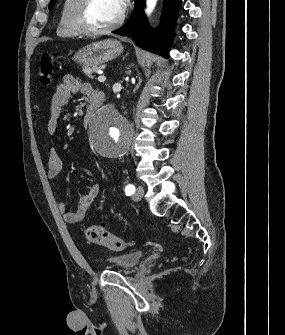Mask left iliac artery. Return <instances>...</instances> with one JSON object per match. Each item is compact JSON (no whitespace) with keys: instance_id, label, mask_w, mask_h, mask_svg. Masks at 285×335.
Here are the masks:
<instances>
[{"instance_id":"left-iliac-artery-1","label":"left iliac artery","mask_w":285,"mask_h":335,"mask_svg":"<svg viewBox=\"0 0 285 335\" xmlns=\"http://www.w3.org/2000/svg\"><path fill=\"white\" fill-rule=\"evenodd\" d=\"M134 192H135V187H134V185L129 184V185L126 186V188H125V194H126L127 196H131Z\"/></svg>"}]
</instances>
